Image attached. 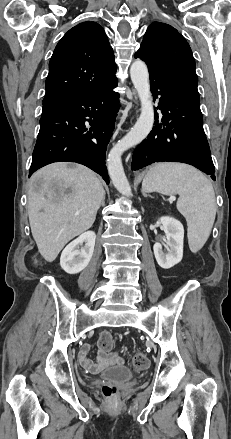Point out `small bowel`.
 I'll return each mask as SVG.
<instances>
[{"label": "small bowel", "instance_id": "small-bowel-1", "mask_svg": "<svg viewBox=\"0 0 231 439\" xmlns=\"http://www.w3.org/2000/svg\"><path fill=\"white\" fill-rule=\"evenodd\" d=\"M93 345L85 344L82 346L78 353V359L80 364L92 373H97L109 366L118 364L121 362V358L116 353H108L100 349L97 354L96 361L91 360L88 354Z\"/></svg>", "mask_w": 231, "mask_h": 439}]
</instances>
